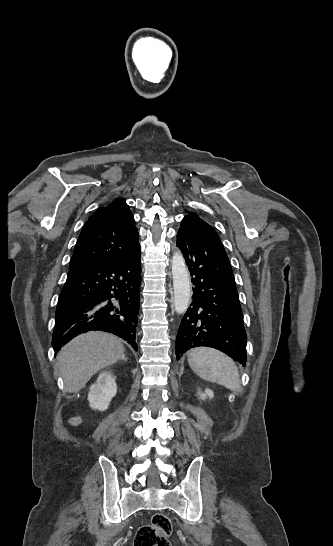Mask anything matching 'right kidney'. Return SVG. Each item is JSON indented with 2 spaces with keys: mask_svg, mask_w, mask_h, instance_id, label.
Instances as JSON below:
<instances>
[{
  "mask_svg": "<svg viewBox=\"0 0 333 546\" xmlns=\"http://www.w3.org/2000/svg\"><path fill=\"white\" fill-rule=\"evenodd\" d=\"M116 392L117 386L112 373L110 371L102 372L90 387L88 394L90 407L100 411L106 410Z\"/></svg>",
  "mask_w": 333,
  "mask_h": 546,
  "instance_id": "obj_1",
  "label": "right kidney"
}]
</instances>
